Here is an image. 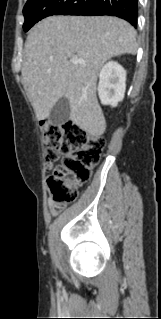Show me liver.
<instances>
[{
  "mask_svg": "<svg viewBox=\"0 0 161 319\" xmlns=\"http://www.w3.org/2000/svg\"><path fill=\"white\" fill-rule=\"evenodd\" d=\"M134 28L110 16H56L37 23L25 43L22 78L36 117H49L55 103L66 97L70 118L92 136H101L106 121L96 96L98 72L110 58L134 55ZM83 62L74 65L70 58Z\"/></svg>",
  "mask_w": 161,
  "mask_h": 319,
  "instance_id": "1",
  "label": "liver"
}]
</instances>
